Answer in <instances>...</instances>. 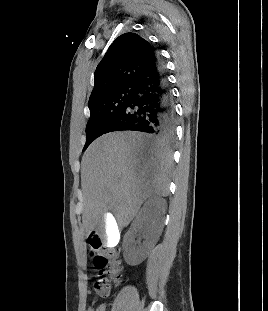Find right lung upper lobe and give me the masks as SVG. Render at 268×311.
Segmentation results:
<instances>
[{"mask_svg": "<svg viewBox=\"0 0 268 311\" xmlns=\"http://www.w3.org/2000/svg\"><path fill=\"white\" fill-rule=\"evenodd\" d=\"M156 57L154 48L138 34L120 35L95 70L88 105L120 88L133 86L155 64Z\"/></svg>", "mask_w": 268, "mask_h": 311, "instance_id": "1", "label": "right lung upper lobe"}]
</instances>
